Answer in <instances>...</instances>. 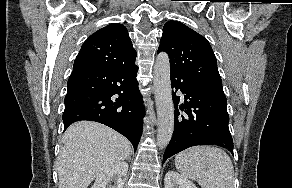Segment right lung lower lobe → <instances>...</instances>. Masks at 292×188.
I'll list each match as a JSON object with an SVG mask.
<instances>
[{
  "instance_id": "1",
  "label": "right lung lower lobe",
  "mask_w": 292,
  "mask_h": 188,
  "mask_svg": "<svg viewBox=\"0 0 292 188\" xmlns=\"http://www.w3.org/2000/svg\"><path fill=\"white\" fill-rule=\"evenodd\" d=\"M137 71L135 64L125 68H74L65 96L64 130L75 121H96L127 137L136 150L145 113Z\"/></svg>"
}]
</instances>
